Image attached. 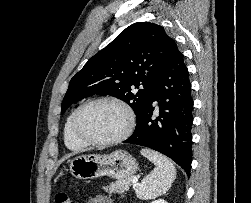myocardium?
<instances>
[{
	"label": "myocardium",
	"instance_id": "obj_1",
	"mask_svg": "<svg viewBox=\"0 0 251 203\" xmlns=\"http://www.w3.org/2000/svg\"><path fill=\"white\" fill-rule=\"evenodd\" d=\"M102 102L112 103L119 106L126 114L127 124L125 129L119 135L113 138L106 140L91 139L85 136L79 129L80 116L83 113V111L89 106ZM71 126L74 136L84 144L93 146H110L126 140L132 134L135 127V115L131 107L123 100L112 96H102L88 100L82 105H80L74 112Z\"/></svg>",
	"mask_w": 251,
	"mask_h": 203
}]
</instances>
